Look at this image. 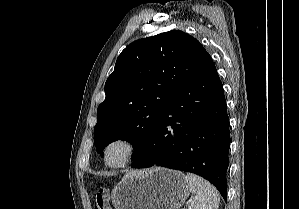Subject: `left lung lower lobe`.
<instances>
[{
  "instance_id": "left-lung-lower-lobe-1",
  "label": "left lung lower lobe",
  "mask_w": 299,
  "mask_h": 209,
  "mask_svg": "<svg viewBox=\"0 0 299 209\" xmlns=\"http://www.w3.org/2000/svg\"><path fill=\"white\" fill-rule=\"evenodd\" d=\"M230 131L222 83L211 60L169 100L132 168L195 173L227 198Z\"/></svg>"
}]
</instances>
